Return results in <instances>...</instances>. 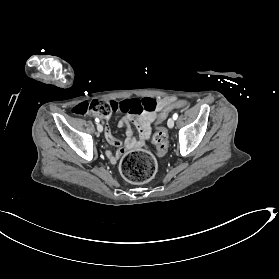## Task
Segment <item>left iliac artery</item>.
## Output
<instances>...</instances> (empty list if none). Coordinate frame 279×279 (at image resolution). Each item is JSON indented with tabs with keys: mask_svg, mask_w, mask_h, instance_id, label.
<instances>
[{
	"mask_svg": "<svg viewBox=\"0 0 279 279\" xmlns=\"http://www.w3.org/2000/svg\"><path fill=\"white\" fill-rule=\"evenodd\" d=\"M177 118H178V114L175 113V114L173 115V119L176 120Z\"/></svg>",
	"mask_w": 279,
	"mask_h": 279,
	"instance_id": "44dca946",
	"label": "left iliac artery"
}]
</instances>
